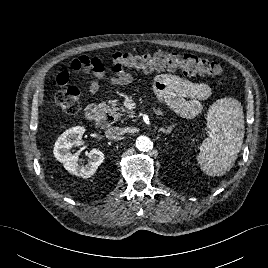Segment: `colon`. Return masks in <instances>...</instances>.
Returning a JSON list of instances; mask_svg holds the SVG:
<instances>
[{"instance_id": "obj_1", "label": "colon", "mask_w": 268, "mask_h": 268, "mask_svg": "<svg viewBox=\"0 0 268 268\" xmlns=\"http://www.w3.org/2000/svg\"><path fill=\"white\" fill-rule=\"evenodd\" d=\"M111 65L116 71L129 69H178L185 76L215 77L223 73L222 67L217 62L199 58L192 54L180 55L167 52L148 54L116 52L111 57ZM63 81L65 82L66 80ZM79 98L80 90L72 86L66 90L58 91L53 98V105L67 113H76L80 107Z\"/></svg>"}]
</instances>
